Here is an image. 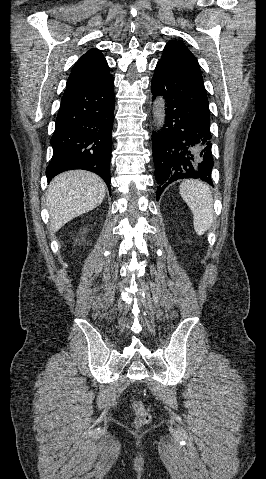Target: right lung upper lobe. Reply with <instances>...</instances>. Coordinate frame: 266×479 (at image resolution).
<instances>
[{
	"label": "right lung upper lobe",
	"instance_id": "right-lung-upper-lobe-1",
	"mask_svg": "<svg viewBox=\"0 0 266 479\" xmlns=\"http://www.w3.org/2000/svg\"><path fill=\"white\" fill-rule=\"evenodd\" d=\"M109 74V67L103 54L100 50L93 48L76 62L67 80V85L99 80Z\"/></svg>",
	"mask_w": 266,
	"mask_h": 479
}]
</instances>
